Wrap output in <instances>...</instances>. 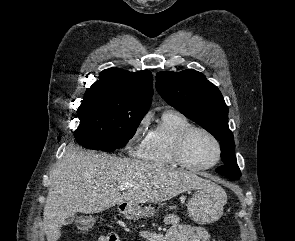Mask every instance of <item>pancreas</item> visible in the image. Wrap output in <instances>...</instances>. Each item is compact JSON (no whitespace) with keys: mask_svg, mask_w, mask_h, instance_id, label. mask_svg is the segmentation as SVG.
Returning <instances> with one entry per match:
<instances>
[{"mask_svg":"<svg viewBox=\"0 0 295 241\" xmlns=\"http://www.w3.org/2000/svg\"><path fill=\"white\" fill-rule=\"evenodd\" d=\"M175 208H176L175 206H170V207H169L170 210H173V209H175Z\"/></svg>","mask_w":295,"mask_h":241,"instance_id":"obj_1","label":"pancreas"}]
</instances>
